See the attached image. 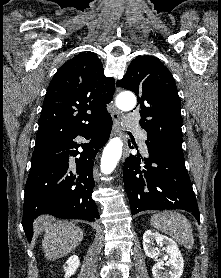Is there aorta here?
Here are the masks:
<instances>
[{"label": "aorta", "mask_w": 221, "mask_h": 278, "mask_svg": "<svg viewBox=\"0 0 221 278\" xmlns=\"http://www.w3.org/2000/svg\"><path fill=\"white\" fill-rule=\"evenodd\" d=\"M136 104V98L131 93L122 94L117 97L116 105L121 110H131ZM123 142L120 138L115 137L109 141L103 150L101 158V172L103 174H110L116 167L121 154Z\"/></svg>", "instance_id": "aorta-1"}]
</instances>
